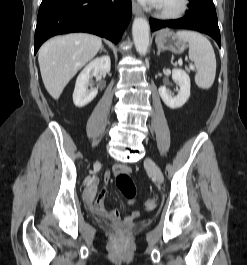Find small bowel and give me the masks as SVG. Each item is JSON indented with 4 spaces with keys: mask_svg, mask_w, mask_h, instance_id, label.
<instances>
[{
    "mask_svg": "<svg viewBox=\"0 0 247 265\" xmlns=\"http://www.w3.org/2000/svg\"><path fill=\"white\" fill-rule=\"evenodd\" d=\"M130 171L129 167L116 165L113 168V172L127 173ZM111 178V172L107 171L104 174L103 180L107 184ZM106 194V186H103L100 190H97V182H93L86 190L84 200L87 207L95 212L98 216L111 221H116L120 217V212L117 209L108 210L104 206V196ZM139 216L138 211H133L129 218H137Z\"/></svg>",
    "mask_w": 247,
    "mask_h": 265,
    "instance_id": "obj_1",
    "label": "small bowel"
}]
</instances>
